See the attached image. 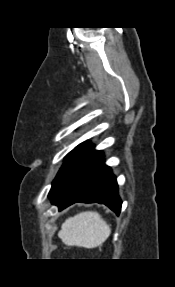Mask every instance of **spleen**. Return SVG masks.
<instances>
[{"instance_id":"1","label":"spleen","mask_w":175,"mask_h":287,"mask_svg":"<svg viewBox=\"0 0 175 287\" xmlns=\"http://www.w3.org/2000/svg\"><path fill=\"white\" fill-rule=\"evenodd\" d=\"M110 233V226L99 213L85 211L66 219L58 236L68 246L95 248L100 246Z\"/></svg>"}]
</instances>
